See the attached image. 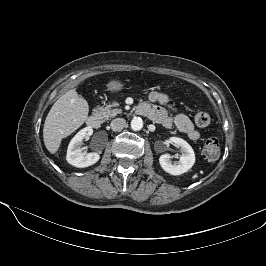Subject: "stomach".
I'll use <instances>...</instances> for the list:
<instances>
[{
    "label": "stomach",
    "mask_w": 266,
    "mask_h": 266,
    "mask_svg": "<svg viewBox=\"0 0 266 266\" xmlns=\"http://www.w3.org/2000/svg\"><path fill=\"white\" fill-rule=\"evenodd\" d=\"M106 88L110 92H118L123 90L124 84L118 80H111L107 83Z\"/></svg>",
    "instance_id": "obj_1"
}]
</instances>
